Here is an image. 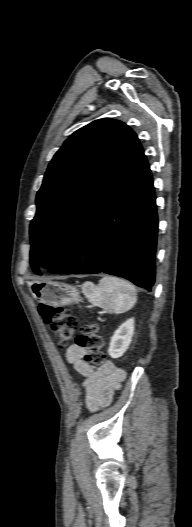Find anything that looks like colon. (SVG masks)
<instances>
[{"label":"colon","instance_id":"1","mask_svg":"<svg viewBox=\"0 0 192 527\" xmlns=\"http://www.w3.org/2000/svg\"><path fill=\"white\" fill-rule=\"evenodd\" d=\"M39 314L51 332L59 339L61 346H65L72 339L74 330L79 323L68 308L41 304ZM75 342L85 349L84 360L89 365L100 366L104 363L105 356L102 351L104 341L98 333V326L94 322L87 321L81 324L80 334L76 337Z\"/></svg>","mask_w":192,"mask_h":527}]
</instances>
